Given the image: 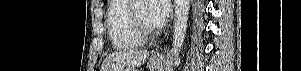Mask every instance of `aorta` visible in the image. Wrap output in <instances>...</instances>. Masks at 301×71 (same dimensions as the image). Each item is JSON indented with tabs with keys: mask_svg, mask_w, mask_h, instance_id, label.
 <instances>
[{
	"mask_svg": "<svg viewBox=\"0 0 301 71\" xmlns=\"http://www.w3.org/2000/svg\"><path fill=\"white\" fill-rule=\"evenodd\" d=\"M189 6L190 0H175L174 1V32H173V43H172V55L174 59L178 57L179 52L183 46L186 30H187V22H188V14H189Z\"/></svg>",
	"mask_w": 301,
	"mask_h": 71,
	"instance_id": "aorta-1",
	"label": "aorta"
}]
</instances>
